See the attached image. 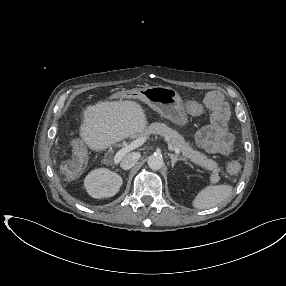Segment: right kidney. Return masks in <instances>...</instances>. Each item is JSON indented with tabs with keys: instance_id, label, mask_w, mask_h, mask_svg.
<instances>
[{
	"instance_id": "obj_1",
	"label": "right kidney",
	"mask_w": 286,
	"mask_h": 286,
	"mask_svg": "<svg viewBox=\"0 0 286 286\" xmlns=\"http://www.w3.org/2000/svg\"><path fill=\"white\" fill-rule=\"evenodd\" d=\"M122 178L106 168L91 171L84 180L88 194L96 199L112 197L120 189Z\"/></svg>"
}]
</instances>
